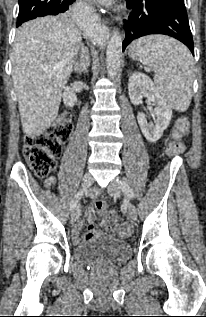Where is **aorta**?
<instances>
[{"mask_svg":"<svg viewBox=\"0 0 206 317\" xmlns=\"http://www.w3.org/2000/svg\"><path fill=\"white\" fill-rule=\"evenodd\" d=\"M81 27L85 33L97 35L99 33L100 25L95 16L85 11L81 16ZM122 61V37L118 29H114L110 41L107 46L106 63L107 73L110 78H114L121 65Z\"/></svg>","mask_w":206,"mask_h":317,"instance_id":"762f6f07","label":"aorta"}]
</instances>
